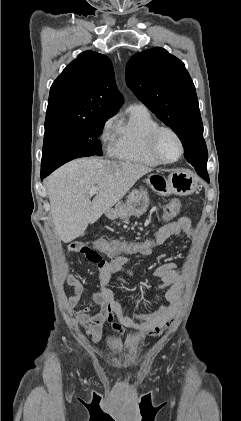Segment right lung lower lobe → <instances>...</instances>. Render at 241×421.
<instances>
[{"label":"right lung lower lobe","instance_id":"98d812e1","mask_svg":"<svg viewBox=\"0 0 241 421\" xmlns=\"http://www.w3.org/2000/svg\"><path fill=\"white\" fill-rule=\"evenodd\" d=\"M54 170H55V168H47V169L42 168L41 169V179L45 178L47 175H49Z\"/></svg>","mask_w":241,"mask_h":421}]
</instances>
